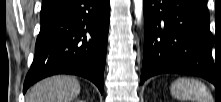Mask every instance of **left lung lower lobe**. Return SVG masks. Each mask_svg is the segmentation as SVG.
<instances>
[{"label":"left lung lower lobe","mask_w":221,"mask_h":102,"mask_svg":"<svg viewBox=\"0 0 221 102\" xmlns=\"http://www.w3.org/2000/svg\"><path fill=\"white\" fill-rule=\"evenodd\" d=\"M141 84L162 73L203 77L215 84L217 66L205 0H144Z\"/></svg>","instance_id":"obj_1"}]
</instances>
